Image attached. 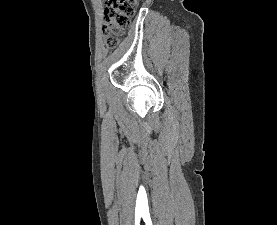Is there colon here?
<instances>
[{
    "label": "colon",
    "mask_w": 277,
    "mask_h": 225,
    "mask_svg": "<svg viewBox=\"0 0 277 225\" xmlns=\"http://www.w3.org/2000/svg\"><path fill=\"white\" fill-rule=\"evenodd\" d=\"M136 5L137 0H106L103 32L109 48L117 45L119 36L129 26Z\"/></svg>",
    "instance_id": "colon-1"
}]
</instances>
